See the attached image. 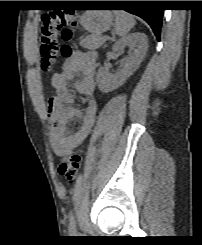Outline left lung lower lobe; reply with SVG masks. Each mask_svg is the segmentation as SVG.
<instances>
[{
  "mask_svg": "<svg viewBox=\"0 0 202 245\" xmlns=\"http://www.w3.org/2000/svg\"><path fill=\"white\" fill-rule=\"evenodd\" d=\"M90 4H100V1H89ZM152 1H107L109 7H124L125 11L144 19L152 28L156 38L159 40L163 10L150 8Z\"/></svg>",
  "mask_w": 202,
  "mask_h": 245,
  "instance_id": "0a47b994",
  "label": "left lung lower lobe"
}]
</instances>
